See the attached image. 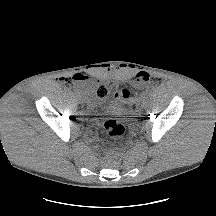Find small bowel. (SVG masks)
I'll return each instance as SVG.
<instances>
[{
	"label": "small bowel",
	"instance_id": "c3829d8e",
	"mask_svg": "<svg viewBox=\"0 0 216 216\" xmlns=\"http://www.w3.org/2000/svg\"><path fill=\"white\" fill-rule=\"evenodd\" d=\"M138 78L142 79L143 77L140 75V77ZM64 80L72 81L76 84H86V85L88 84L87 83L88 77H86L83 73H75L69 79H64ZM117 95L125 99L130 96V93L126 88H121L117 91Z\"/></svg>",
	"mask_w": 216,
	"mask_h": 216
}]
</instances>
